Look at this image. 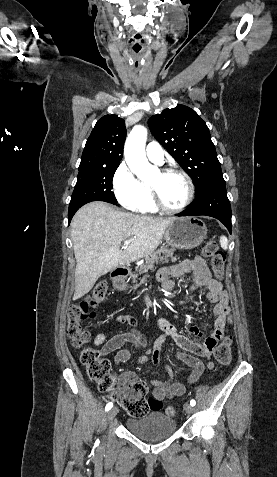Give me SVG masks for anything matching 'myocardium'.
Segmentation results:
<instances>
[{"mask_svg": "<svg viewBox=\"0 0 277 477\" xmlns=\"http://www.w3.org/2000/svg\"><path fill=\"white\" fill-rule=\"evenodd\" d=\"M160 173L162 175L176 174L181 176L185 180L187 185V196L185 201L180 206L171 208L165 205V203L162 201L157 188L150 184L149 189H150V193H151L154 205L156 206L157 209L169 214H176V213H180L184 211L192 203L194 199L195 187H194L192 178L184 170L175 168V167L162 169Z\"/></svg>", "mask_w": 277, "mask_h": 477, "instance_id": "1", "label": "myocardium"}]
</instances>
